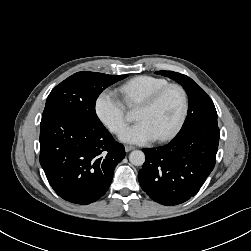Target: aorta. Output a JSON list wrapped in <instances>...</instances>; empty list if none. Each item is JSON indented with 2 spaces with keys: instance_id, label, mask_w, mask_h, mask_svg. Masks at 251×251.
Instances as JSON below:
<instances>
[{
  "instance_id": "762f6f07",
  "label": "aorta",
  "mask_w": 251,
  "mask_h": 251,
  "mask_svg": "<svg viewBox=\"0 0 251 251\" xmlns=\"http://www.w3.org/2000/svg\"><path fill=\"white\" fill-rule=\"evenodd\" d=\"M129 161L134 166H141L145 162V154L140 150H134L129 155Z\"/></svg>"
}]
</instances>
